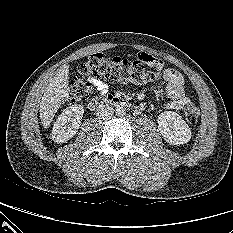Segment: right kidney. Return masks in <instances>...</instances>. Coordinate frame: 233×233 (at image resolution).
Instances as JSON below:
<instances>
[{
    "label": "right kidney",
    "instance_id": "right-kidney-1",
    "mask_svg": "<svg viewBox=\"0 0 233 233\" xmlns=\"http://www.w3.org/2000/svg\"><path fill=\"white\" fill-rule=\"evenodd\" d=\"M84 108L75 104L67 107L57 118L52 129V139L57 143H64L72 138L80 127Z\"/></svg>",
    "mask_w": 233,
    "mask_h": 233
}]
</instances>
